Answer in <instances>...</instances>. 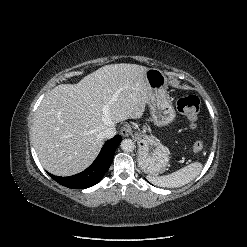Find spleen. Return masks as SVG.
<instances>
[{"label": "spleen", "mask_w": 247, "mask_h": 247, "mask_svg": "<svg viewBox=\"0 0 247 247\" xmlns=\"http://www.w3.org/2000/svg\"><path fill=\"white\" fill-rule=\"evenodd\" d=\"M201 170L202 164L200 162H194L171 174L158 177L149 176L148 179L154 185L175 188L194 180L200 174Z\"/></svg>", "instance_id": "1"}]
</instances>
